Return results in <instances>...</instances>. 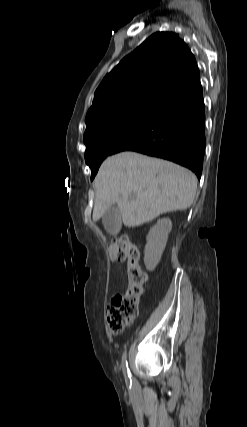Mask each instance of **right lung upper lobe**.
Here are the masks:
<instances>
[{
  "instance_id": "right-lung-upper-lobe-1",
  "label": "right lung upper lobe",
  "mask_w": 247,
  "mask_h": 427,
  "mask_svg": "<svg viewBox=\"0 0 247 427\" xmlns=\"http://www.w3.org/2000/svg\"><path fill=\"white\" fill-rule=\"evenodd\" d=\"M200 79L194 55L173 32L151 35L102 80L85 122L135 106L158 107Z\"/></svg>"
}]
</instances>
